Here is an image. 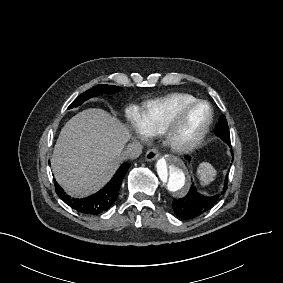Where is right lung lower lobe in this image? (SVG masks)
Listing matches in <instances>:
<instances>
[{
	"mask_svg": "<svg viewBox=\"0 0 283 283\" xmlns=\"http://www.w3.org/2000/svg\"><path fill=\"white\" fill-rule=\"evenodd\" d=\"M129 167V163H123L111 181L103 189L87 198H71L55 182L56 192L65 203L78 212L88 215L99 214L108 210L117 199L122 180Z\"/></svg>",
	"mask_w": 283,
	"mask_h": 283,
	"instance_id": "98d812e1",
	"label": "right lung lower lobe"
}]
</instances>
